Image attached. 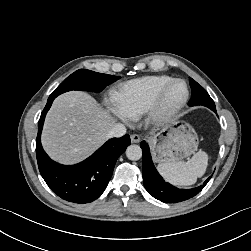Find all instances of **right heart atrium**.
<instances>
[{
  "label": "right heart atrium",
  "mask_w": 251,
  "mask_h": 251,
  "mask_svg": "<svg viewBox=\"0 0 251 251\" xmlns=\"http://www.w3.org/2000/svg\"><path fill=\"white\" fill-rule=\"evenodd\" d=\"M108 106H109V108H110L113 112H115L116 114H118L122 119H124V120H127V119H128V117L125 116V115L117 108V106H116V104H115L114 101L109 100V101H108Z\"/></svg>",
  "instance_id": "d8ad5b80"
}]
</instances>
